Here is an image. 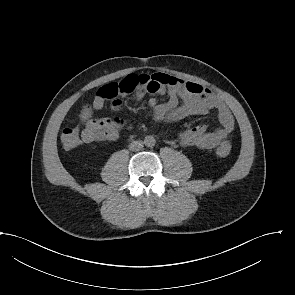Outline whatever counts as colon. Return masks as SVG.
<instances>
[{"label":"colon","instance_id":"obj_1","mask_svg":"<svg viewBox=\"0 0 295 295\" xmlns=\"http://www.w3.org/2000/svg\"><path fill=\"white\" fill-rule=\"evenodd\" d=\"M140 79L138 75H129L119 83H110L101 87L97 94L105 100L112 99L118 95L128 94L138 88ZM84 127L72 126L66 127L61 132V142L65 149L77 147L83 140ZM231 152V144L224 141L216 148V154L219 157H227Z\"/></svg>","mask_w":295,"mask_h":295}]
</instances>
